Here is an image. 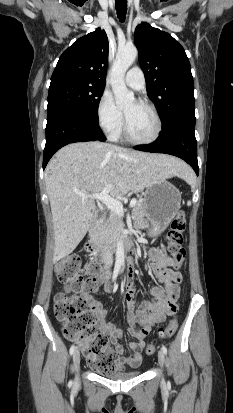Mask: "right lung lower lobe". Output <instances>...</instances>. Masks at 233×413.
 Wrapping results in <instances>:
<instances>
[{
	"label": "right lung lower lobe",
	"mask_w": 233,
	"mask_h": 413,
	"mask_svg": "<svg viewBox=\"0 0 233 413\" xmlns=\"http://www.w3.org/2000/svg\"><path fill=\"white\" fill-rule=\"evenodd\" d=\"M96 140L105 141L98 122L69 110H53L47 113L43 169L61 147L74 142Z\"/></svg>",
	"instance_id": "obj_1"
}]
</instances>
